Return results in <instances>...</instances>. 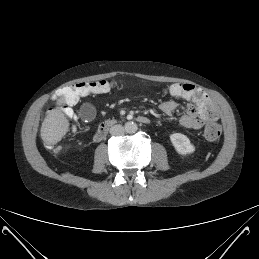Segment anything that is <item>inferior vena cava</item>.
I'll use <instances>...</instances> for the list:
<instances>
[{"instance_id":"obj_1","label":"inferior vena cava","mask_w":259,"mask_h":259,"mask_svg":"<svg viewBox=\"0 0 259 259\" xmlns=\"http://www.w3.org/2000/svg\"><path fill=\"white\" fill-rule=\"evenodd\" d=\"M125 133V129L122 125L117 124L110 128V134L114 136L123 135Z\"/></svg>"}]
</instances>
